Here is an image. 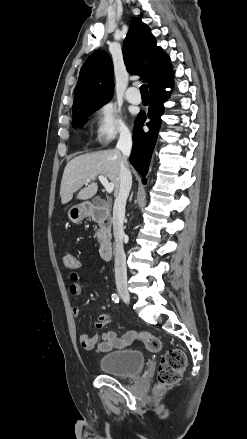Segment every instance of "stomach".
Listing matches in <instances>:
<instances>
[{"label":"stomach","mask_w":247,"mask_h":439,"mask_svg":"<svg viewBox=\"0 0 247 439\" xmlns=\"http://www.w3.org/2000/svg\"><path fill=\"white\" fill-rule=\"evenodd\" d=\"M87 215H88V209L85 204L75 205L71 207L68 211V218L74 223L80 222Z\"/></svg>","instance_id":"obj_1"}]
</instances>
